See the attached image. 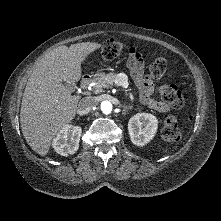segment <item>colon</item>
I'll list each match as a JSON object with an SVG mask.
<instances>
[{"label":"colon","mask_w":221,"mask_h":221,"mask_svg":"<svg viewBox=\"0 0 221 221\" xmlns=\"http://www.w3.org/2000/svg\"><path fill=\"white\" fill-rule=\"evenodd\" d=\"M126 46L120 42L107 41L101 50L102 60H113L117 58ZM167 64L163 57L155 56L148 71V77L157 80L166 72ZM161 96L164 102L174 108L180 109L184 106V96L181 90L175 85H164L160 88ZM162 135L169 141H179L181 139V131L178 122L174 116L166 117L162 129Z\"/></svg>","instance_id":"1"}]
</instances>
